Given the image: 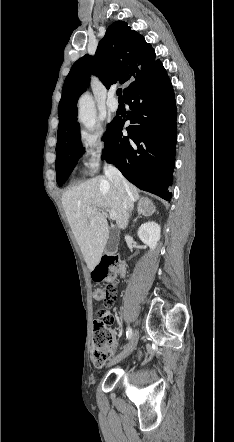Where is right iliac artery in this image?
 Masks as SVG:
<instances>
[{
  "label": "right iliac artery",
  "instance_id": "1",
  "mask_svg": "<svg viewBox=\"0 0 234 442\" xmlns=\"http://www.w3.org/2000/svg\"><path fill=\"white\" fill-rule=\"evenodd\" d=\"M126 334L129 339L132 337V329L130 327H127Z\"/></svg>",
  "mask_w": 234,
  "mask_h": 442
}]
</instances>
